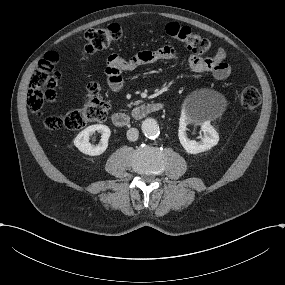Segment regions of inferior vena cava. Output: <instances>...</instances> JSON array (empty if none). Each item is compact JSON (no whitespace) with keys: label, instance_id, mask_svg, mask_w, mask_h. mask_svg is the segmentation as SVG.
<instances>
[{"label":"inferior vena cava","instance_id":"obj_1","mask_svg":"<svg viewBox=\"0 0 285 285\" xmlns=\"http://www.w3.org/2000/svg\"><path fill=\"white\" fill-rule=\"evenodd\" d=\"M139 136V131L137 128H130L127 131V139L130 141H136Z\"/></svg>","mask_w":285,"mask_h":285}]
</instances>
